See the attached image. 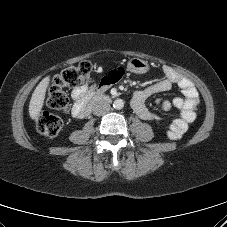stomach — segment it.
Segmentation results:
<instances>
[{
  "label": "stomach",
  "mask_w": 227,
  "mask_h": 227,
  "mask_svg": "<svg viewBox=\"0 0 227 227\" xmlns=\"http://www.w3.org/2000/svg\"><path fill=\"white\" fill-rule=\"evenodd\" d=\"M127 68L132 73L144 74L149 70L150 65L147 61H145L143 59L131 58L128 61Z\"/></svg>",
  "instance_id": "obj_1"
}]
</instances>
